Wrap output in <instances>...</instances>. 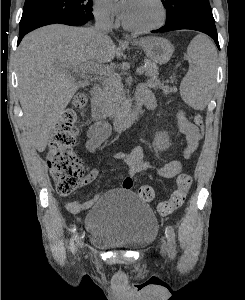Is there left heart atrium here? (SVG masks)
Returning a JSON list of instances; mask_svg holds the SVG:
<instances>
[{
  "label": "left heart atrium",
  "mask_w": 245,
  "mask_h": 300,
  "mask_svg": "<svg viewBox=\"0 0 245 300\" xmlns=\"http://www.w3.org/2000/svg\"><path fill=\"white\" fill-rule=\"evenodd\" d=\"M124 11H125V7L123 8V11H122L121 17H123Z\"/></svg>",
  "instance_id": "1"
}]
</instances>
